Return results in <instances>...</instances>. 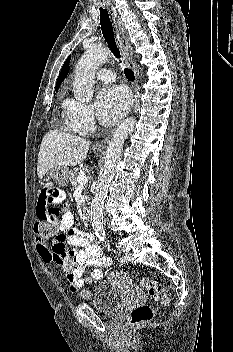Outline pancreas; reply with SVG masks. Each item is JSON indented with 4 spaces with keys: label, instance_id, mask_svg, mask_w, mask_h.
<instances>
[{
    "label": "pancreas",
    "instance_id": "pancreas-1",
    "mask_svg": "<svg viewBox=\"0 0 233 352\" xmlns=\"http://www.w3.org/2000/svg\"><path fill=\"white\" fill-rule=\"evenodd\" d=\"M79 175V169L74 168L73 170L69 171V179L73 185L74 188L78 186V181H77V176ZM86 200H88V196H84Z\"/></svg>",
    "mask_w": 233,
    "mask_h": 352
}]
</instances>
